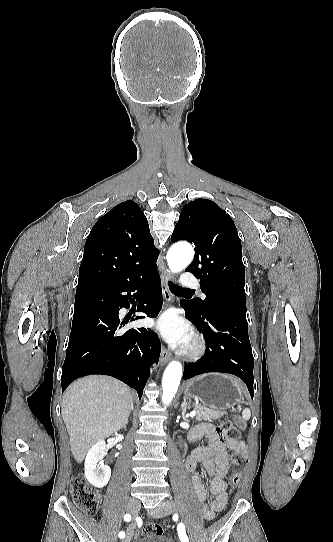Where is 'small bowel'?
Listing matches in <instances>:
<instances>
[{"label": "small bowel", "instance_id": "obj_1", "mask_svg": "<svg viewBox=\"0 0 333 542\" xmlns=\"http://www.w3.org/2000/svg\"><path fill=\"white\" fill-rule=\"evenodd\" d=\"M191 433L197 437L206 436L207 445L195 449L185 462L188 472H192V484L199 502L203 503V517L212 520L216 513L223 510L227 503V484L224 476L229 467L228 450L237 456L248 454L247 445L243 440L222 442L218 438L213 426L200 424ZM198 463H202L210 476L209 486L206 487L201 477L195 472ZM139 534V528L131 525L126 530L127 541L131 542Z\"/></svg>", "mask_w": 333, "mask_h": 542}]
</instances>
